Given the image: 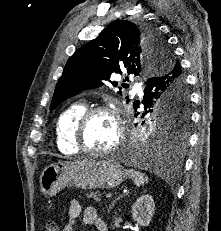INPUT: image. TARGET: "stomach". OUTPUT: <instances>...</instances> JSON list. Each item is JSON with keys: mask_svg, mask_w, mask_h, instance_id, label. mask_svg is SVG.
Segmentation results:
<instances>
[{"mask_svg": "<svg viewBox=\"0 0 221 231\" xmlns=\"http://www.w3.org/2000/svg\"><path fill=\"white\" fill-rule=\"evenodd\" d=\"M127 174L113 159L60 162L46 167L39 179L45 196H54L68 186L82 189H111L120 185Z\"/></svg>", "mask_w": 221, "mask_h": 231, "instance_id": "obj_1", "label": "stomach"}]
</instances>
